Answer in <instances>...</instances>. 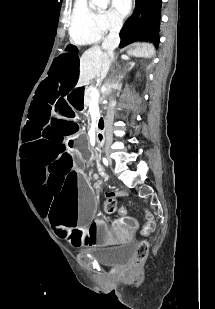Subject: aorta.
Instances as JSON below:
<instances>
[{"label":"aorta","instance_id":"762f6f07","mask_svg":"<svg viewBox=\"0 0 215 309\" xmlns=\"http://www.w3.org/2000/svg\"><path fill=\"white\" fill-rule=\"evenodd\" d=\"M91 2L98 8H107L109 0H91Z\"/></svg>","mask_w":215,"mask_h":309}]
</instances>
